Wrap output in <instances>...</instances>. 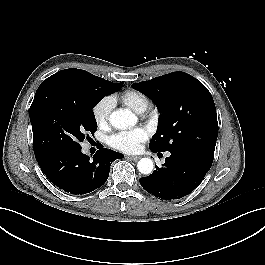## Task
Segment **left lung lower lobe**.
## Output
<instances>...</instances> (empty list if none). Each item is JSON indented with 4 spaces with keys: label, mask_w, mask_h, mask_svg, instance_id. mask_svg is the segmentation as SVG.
<instances>
[{
    "label": "left lung lower lobe",
    "mask_w": 265,
    "mask_h": 265,
    "mask_svg": "<svg viewBox=\"0 0 265 265\" xmlns=\"http://www.w3.org/2000/svg\"><path fill=\"white\" fill-rule=\"evenodd\" d=\"M156 153L157 151L151 150ZM162 168L139 179L141 186L159 199H180L189 194L204 179L212 162L187 152L171 153Z\"/></svg>",
    "instance_id": "0a47b994"
}]
</instances>
